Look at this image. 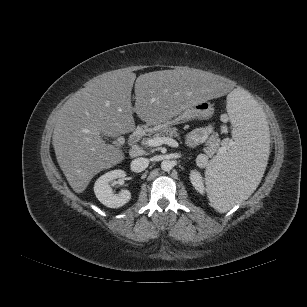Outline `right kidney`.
Returning a JSON list of instances; mask_svg holds the SVG:
<instances>
[{
  "instance_id": "obj_1",
  "label": "right kidney",
  "mask_w": 307,
  "mask_h": 307,
  "mask_svg": "<svg viewBox=\"0 0 307 307\" xmlns=\"http://www.w3.org/2000/svg\"><path fill=\"white\" fill-rule=\"evenodd\" d=\"M126 173L123 170H112L99 177L94 185V193L97 199L106 207L119 208L128 203L131 193L128 190H121L115 194L110 186V182L115 179H124Z\"/></svg>"
}]
</instances>
